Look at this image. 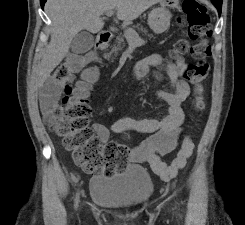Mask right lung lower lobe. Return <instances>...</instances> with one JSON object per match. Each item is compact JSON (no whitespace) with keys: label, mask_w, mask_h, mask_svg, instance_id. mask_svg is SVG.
Wrapping results in <instances>:
<instances>
[{"label":"right lung lower lobe","mask_w":245,"mask_h":225,"mask_svg":"<svg viewBox=\"0 0 245 225\" xmlns=\"http://www.w3.org/2000/svg\"><path fill=\"white\" fill-rule=\"evenodd\" d=\"M46 1L47 0H40V4H41L42 9L44 8V4H45Z\"/></svg>","instance_id":"1"}]
</instances>
